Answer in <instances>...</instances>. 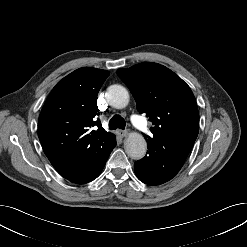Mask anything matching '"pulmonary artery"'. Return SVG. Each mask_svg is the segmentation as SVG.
<instances>
[{
	"instance_id": "pulmonary-artery-1",
	"label": "pulmonary artery",
	"mask_w": 247,
	"mask_h": 247,
	"mask_svg": "<svg viewBox=\"0 0 247 247\" xmlns=\"http://www.w3.org/2000/svg\"><path fill=\"white\" fill-rule=\"evenodd\" d=\"M131 122L141 131L143 132L149 131V126L147 125L146 121L139 115H133L131 117Z\"/></svg>"
}]
</instances>
